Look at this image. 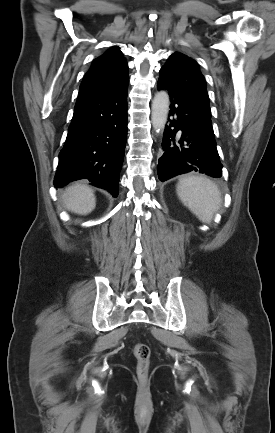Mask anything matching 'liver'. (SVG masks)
Returning a JSON list of instances; mask_svg holds the SVG:
<instances>
[{
  "mask_svg": "<svg viewBox=\"0 0 275 433\" xmlns=\"http://www.w3.org/2000/svg\"><path fill=\"white\" fill-rule=\"evenodd\" d=\"M62 201L67 210L79 215L91 213L96 206L93 190L80 182L66 188Z\"/></svg>",
  "mask_w": 275,
  "mask_h": 433,
  "instance_id": "liver-1",
  "label": "liver"
}]
</instances>
